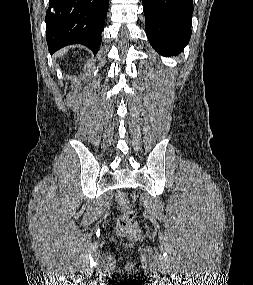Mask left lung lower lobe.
<instances>
[{
    "label": "left lung lower lobe",
    "mask_w": 253,
    "mask_h": 285,
    "mask_svg": "<svg viewBox=\"0 0 253 285\" xmlns=\"http://www.w3.org/2000/svg\"><path fill=\"white\" fill-rule=\"evenodd\" d=\"M147 37L160 53L178 54L191 37L193 0H142Z\"/></svg>",
    "instance_id": "obj_1"
}]
</instances>
